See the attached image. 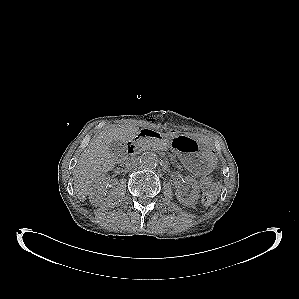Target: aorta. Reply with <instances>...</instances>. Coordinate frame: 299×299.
I'll list each match as a JSON object with an SVG mask.
<instances>
[{
	"label": "aorta",
	"mask_w": 299,
	"mask_h": 299,
	"mask_svg": "<svg viewBox=\"0 0 299 299\" xmlns=\"http://www.w3.org/2000/svg\"><path fill=\"white\" fill-rule=\"evenodd\" d=\"M144 168H155L159 164V157L153 152L144 153L140 159Z\"/></svg>",
	"instance_id": "762f6f07"
}]
</instances>
